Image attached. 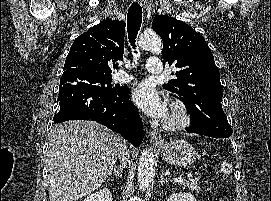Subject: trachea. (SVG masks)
I'll return each mask as SVG.
<instances>
[{
  "label": "trachea",
  "instance_id": "1",
  "mask_svg": "<svg viewBox=\"0 0 271 201\" xmlns=\"http://www.w3.org/2000/svg\"><path fill=\"white\" fill-rule=\"evenodd\" d=\"M142 23V8L139 3L133 2L127 14V31H128V38L131 46L135 49L136 48V36L138 31L141 27ZM137 53V51H134Z\"/></svg>",
  "mask_w": 271,
  "mask_h": 201
}]
</instances>
